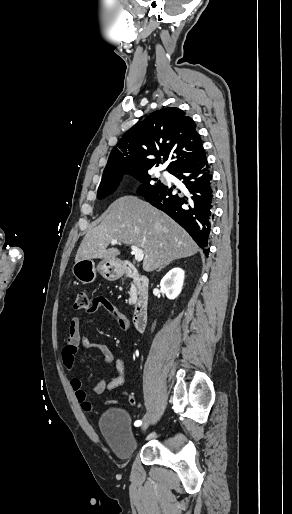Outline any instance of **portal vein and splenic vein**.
I'll return each mask as SVG.
<instances>
[{
    "label": "portal vein and splenic vein",
    "mask_w": 292,
    "mask_h": 514,
    "mask_svg": "<svg viewBox=\"0 0 292 514\" xmlns=\"http://www.w3.org/2000/svg\"><path fill=\"white\" fill-rule=\"evenodd\" d=\"M111 244L112 246H115V244H118V242L117 240H112ZM131 250V254H134L135 260H137V262H141V260L144 258L143 250H140V248H137V246H131Z\"/></svg>",
    "instance_id": "portal-vein-and-splenic-vein-1"
}]
</instances>
